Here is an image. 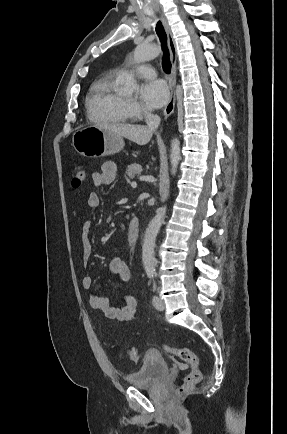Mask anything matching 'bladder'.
<instances>
[{"label":"bladder","mask_w":287,"mask_h":434,"mask_svg":"<svg viewBox=\"0 0 287 434\" xmlns=\"http://www.w3.org/2000/svg\"><path fill=\"white\" fill-rule=\"evenodd\" d=\"M168 372L167 359L159 352L149 351L138 369L126 376L125 382L133 387L151 386Z\"/></svg>","instance_id":"obj_1"}]
</instances>
